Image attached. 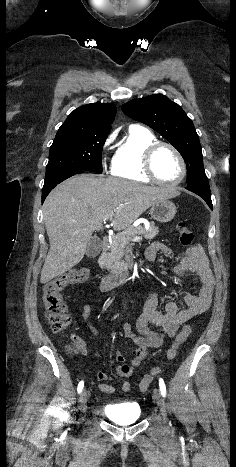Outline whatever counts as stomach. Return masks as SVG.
<instances>
[{
	"label": "stomach",
	"instance_id": "stomach-1",
	"mask_svg": "<svg viewBox=\"0 0 236 467\" xmlns=\"http://www.w3.org/2000/svg\"><path fill=\"white\" fill-rule=\"evenodd\" d=\"M177 212L175 204L169 200H161L151 206V217L161 223L170 222Z\"/></svg>",
	"mask_w": 236,
	"mask_h": 467
}]
</instances>
